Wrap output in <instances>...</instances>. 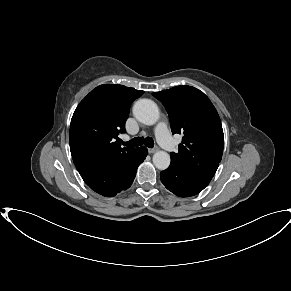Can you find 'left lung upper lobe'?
Segmentation results:
<instances>
[{
  "mask_svg": "<svg viewBox=\"0 0 291 291\" xmlns=\"http://www.w3.org/2000/svg\"><path fill=\"white\" fill-rule=\"evenodd\" d=\"M153 96L165 106L172 133L183 134L179 151L171 153V163L210 181L222 158L224 134L209 98L191 86L154 92Z\"/></svg>",
  "mask_w": 291,
  "mask_h": 291,
  "instance_id": "5c2ea615",
  "label": "left lung upper lobe"
}]
</instances>
